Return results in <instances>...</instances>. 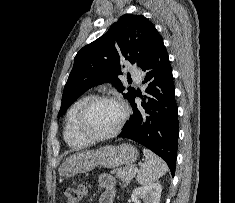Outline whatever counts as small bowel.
<instances>
[{"mask_svg": "<svg viewBox=\"0 0 235 203\" xmlns=\"http://www.w3.org/2000/svg\"><path fill=\"white\" fill-rule=\"evenodd\" d=\"M98 185L103 189L99 203H114L116 188L113 177L108 174H101L98 177Z\"/></svg>", "mask_w": 235, "mask_h": 203, "instance_id": "small-bowel-1", "label": "small bowel"}]
</instances>
